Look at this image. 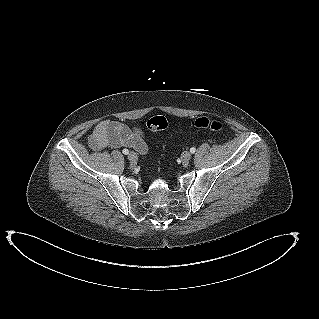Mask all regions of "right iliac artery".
<instances>
[{"instance_id": "right-iliac-artery-1", "label": "right iliac artery", "mask_w": 319, "mask_h": 319, "mask_svg": "<svg viewBox=\"0 0 319 319\" xmlns=\"http://www.w3.org/2000/svg\"><path fill=\"white\" fill-rule=\"evenodd\" d=\"M123 153L127 155L129 153L128 149H123Z\"/></svg>"}]
</instances>
